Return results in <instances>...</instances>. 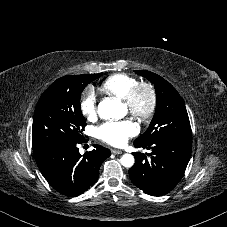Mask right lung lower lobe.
<instances>
[{
    "instance_id": "98d812e1",
    "label": "right lung lower lobe",
    "mask_w": 227,
    "mask_h": 227,
    "mask_svg": "<svg viewBox=\"0 0 227 227\" xmlns=\"http://www.w3.org/2000/svg\"><path fill=\"white\" fill-rule=\"evenodd\" d=\"M83 142L53 143L33 151L42 175L63 195L77 196L93 186L102 162L111 155L109 149L94 145L82 156L77 144Z\"/></svg>"
}]
</instances>
